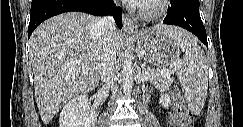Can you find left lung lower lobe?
<instances>
[{
    "mask_svg": "<svg viewBox=\"0 0 243 127\" xmlns=\"http://www.w3.org/2000/svg\"><path fill=\"white\" fill-rule=\"evenodd\" d=\"M171 4L163 22L187 29L208 47L206 30L199 14V0H174Z\"/></svg>",
    "mask_w": 243,
    "mask_h": 127,
    "instance_id": "1",
    "label": "left lung lower lobe"
}]
</instances>
